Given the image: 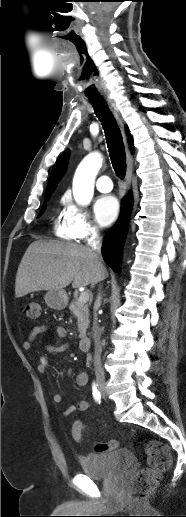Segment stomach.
Wrapping results in <instances>:
<instances>
[{"label": "stomach", "instance_id": "0dacf381", "mask_svg": "<svg viewBox=\"0 0 186 517\" xmlns=\"http://www.w3.org/2000/svg\"><path fill=\"white\" fill-rule=\"evenodd\" d=\"M44 299L47 306L56 310L64 309L68 303V296L64 289L49 290Z\"/></svg>", "mask_w": 186, "mask_h": 517}]
</instances>
